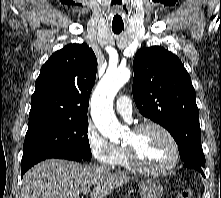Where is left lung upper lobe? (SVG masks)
Returning <instances> with one entry per match:
<instances>
[{
	"label": "left lung upper lobe",
	"instance_id": "left-lung-upper-lobe-1",
	"mask_svg": "<svg viewBox=\"0 0 221 198\" xmlns=\"http://www.w3.org/2000/svg\"><path fill=\"white\" fill-rule=\"evenodd\" d=\"M133 69V98L141 114L171 133L184 163L203 168L196 94L184 65L173 53L154 46L138 50Z\"/></svg>",
	"mask_w": 221,
	"mask_h": 198
}]
</instances>
